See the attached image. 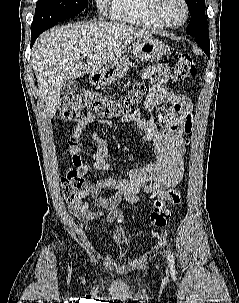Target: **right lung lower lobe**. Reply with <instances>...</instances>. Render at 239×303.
<instances>
[{"label":"right lung lower lobe","mask_w":239,"mask_h":303,"mask_svg":"<svg viewBox=\"0 0 239 303\" xmlns=\"http://www.w3.org/2000/svg\"><path fill=\"white\" fill-rule=\"evenodd\" d=\"M46 29L42 28V29H35V30H31V47L33 46L35 40L37 39V37Z\"/></svg>","instance_id":"obj_1"}]
</instances>
